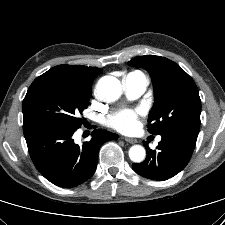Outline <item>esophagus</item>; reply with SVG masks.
I'll return each instance as SVG.
<instances>
[{
  "instance_id": "1",
  "label": "esophagus",
  "mask_w": 225,
  "mask_h": 225,
  "mask_svg": "<svg viewBox=\"0 0 225 225\" xmlns=\"http://www.w3.org/2000/svg\"><path fill=\"white\" fill-rule=\"evenodd\" d=\"M123 139H124L126 142L131 143V144L137 143V139H135V138L124 137Z\"/></svg>"
}]
</instances>
